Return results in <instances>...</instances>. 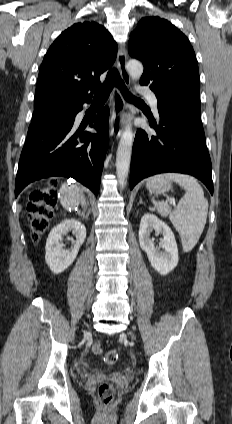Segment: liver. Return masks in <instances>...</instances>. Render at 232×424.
Returning a JSON list of instances; mask_svg holds the SVG:
<instances>
[{"label": "liver", "instance_id": "1", "mask_svg": "<svg viewBox=\"0 0 232 424\" xmlns=\"http://www.w3.org/2000/svg\"><path fill=\"white\" fill-rule=\"evenodd\" d=\"M60 203L64 209H74L78 206L82 197L81 189L76 182L64 183L60 190Z\"/></svg>", "mask_w": 232, "mask_h": 424}]
</instances>
